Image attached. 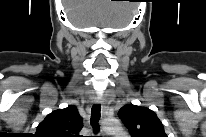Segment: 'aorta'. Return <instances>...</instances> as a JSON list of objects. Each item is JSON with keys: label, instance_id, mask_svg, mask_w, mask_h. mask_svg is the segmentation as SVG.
Masks as SVG:
<instances>
[{"label": "aorta", "instance_id": "aorta-1", "mask_svg": "<svg viewBox=\"0 0 206 137\" xmlns=\"http://www.w3.org/2000/svg\"><path fill=\"white\" fill-rule=\"evenodd\" d=\"M104 130L109 134H120L122 132V127L119 121L106 122Z\"/></svg>", "mask_w": 206, "mask_h": 137}]
</instances>
